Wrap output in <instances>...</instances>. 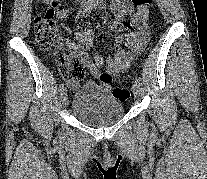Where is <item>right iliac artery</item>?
I'll return each mask as SVG.
<instances>
[{
	"mask_svg": "<svg viewBox=\"0 0 207 179\" xmlns=\"http://www.w3.org/2000/svg\"><path fill=\"white\" fill-rule=\"evenodd\" d=\"M92 10L91 6H86L84 11H83V16H87ZM60 91L63 92L65 91V86L64 84H60Z\"/></svg>",
	"mask_w": 207,
	"mask_h": 179,
	"instance_id": "82829eb1",
	"label": "right iliac artery"
}]
</instances>
